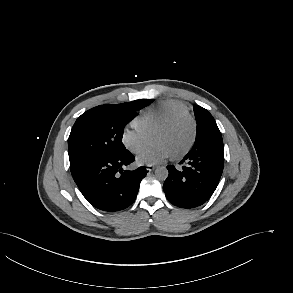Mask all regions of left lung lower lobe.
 Wrapping results in <instances>:
<instances>
[{
  "mask_svg": "<svg viewBox=\"0 0 293 293\" xmlns=\"http://www.w3.org/2000/svg\"><path fill=\"white\" fill-rule=\"evenodd\" d=\"M180 164H184L182 168L167 166L165 195L178 207L200 206L211 197L219 183L224 166L223 145L214 142L195 144Z\"/></svg>",
  "mask_w": 293,
  "mask_h": 293,
  "instance_id": "obj_1",
  "label": "left lung lower lobe"
}]
</instances>
